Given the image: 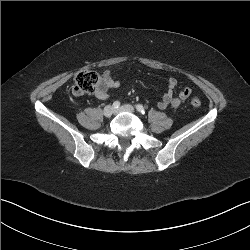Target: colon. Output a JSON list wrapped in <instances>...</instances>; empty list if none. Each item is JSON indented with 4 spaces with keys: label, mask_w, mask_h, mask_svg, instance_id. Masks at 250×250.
I'll list each match as a JSON object with an SVG mask.
<instances>
[{
    "label": "colon",
    "mask_w": 250,
    "mask_h": 250,
    "mask_svg": "<svg viewBox=\"0 0 250 250\" xmlns=\"http://www.w3.org/2000/svg\"><path fill=\"white\" fill-rule=\"evenodd\" d=\"M101 83L100 75L91 70H84L75 76L72 91L76 95L89 94L96 91ZM191 104L194 107H200L201 101L197 97L191 99Z\"/></svg>",
    "instance_id": "colon-1"
}]
</instances>
